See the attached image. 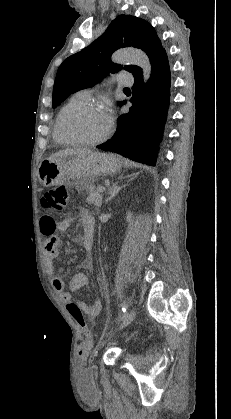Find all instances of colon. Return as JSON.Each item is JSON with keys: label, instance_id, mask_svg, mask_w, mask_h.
<instances>
[{"label": "colon", "instance_id": "5ec220e1", "mask_svg": "<svg viewBox=\"0 0 231 419\" xmlns=\"http://www.w3.org/2000/svg\"><path fill=\"white\" fill-rule=\"evenodd\" d=\"M68 197H69L68 188L64 185H60V186L49 189L45 193L43 197V204L44 206L50 207L55 211H63L68 204ZM67 308L70 311L71 315L83 328V336H84L83 348L89 347L92 344V335H91V332L87 328H85L84 318H83L82 313L73 302L68 303Z\"/></svg>", "mask_w": 231, "mask_h": 419}]
</instances>
